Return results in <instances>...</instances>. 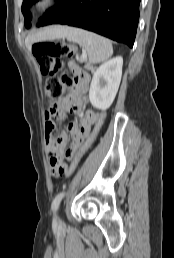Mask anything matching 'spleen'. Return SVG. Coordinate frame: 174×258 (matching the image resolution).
Wrapping results in <instances>:
<instances>
[{
	"label": "spleen",
	"instance_id": "obj_1",
	"mask_svg": "<svg viewBox=\"0 0 174 258\" xmlns=\"http://www.w3.org/2000/svg\"><path fill=\"white\" fill-rule=\"evenodd\" d=\"M63 37L70 42L78 43L87 52L90 63L103 62L113 54L111 41L96 33L75 27H65Z\"/></svg>",
	"mask_w": 174,
	"mask_h": 258
}]
</instances>
